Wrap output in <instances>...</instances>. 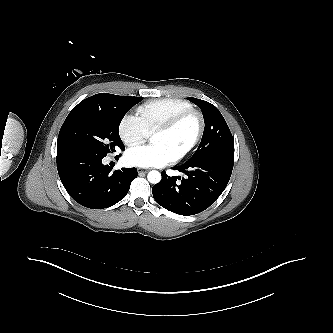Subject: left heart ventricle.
I'll return each mask as SVG.
<instances>
[{"mask_svg":"<svg viewBox=\"0 0 333 333\" xmlns=\"http://www.w3.org/2000/svg\"><path fill=\"white\" fill-rule=\"evenodd\" d=\"M197 129V121L190 117L170 132H156L153 135V144L163 145L173 158L182 152L192 142Z\"/></svg>","mask_w":333,"mask_h":333,"instance_id":"b2bd125f","label":"left heart ventricle"}]
</instances>
